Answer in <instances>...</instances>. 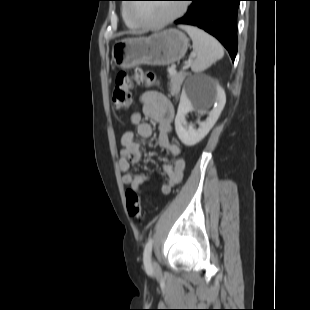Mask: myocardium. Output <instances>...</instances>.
<instances>
[{
    "label": "myocardium",
    "mask_w": 310,
    "mask_h": 310,
    "mask_svg": "<svg viewBox=\"0 0 310 310\" xmlns=\"http://www.w3.org/2000/svg\"><path fill=\"white\" fill-rule=\"evenodd\" d=\"M131 4H128L126 6V14L128 16V18L133 21L137 26L142 27V28H147V29H152V30H157V29H161L163 27H166L167 25L173 23L174 21H176L177 19H179L180 17H182L186 11H187V4L182 3L180 4L177 12L168 17L167 19L157 22V23H153V22H146L143 21L135 16H133L131 14Z\"/></svg>",
    "instance_id": "1"
}]
</instances>
